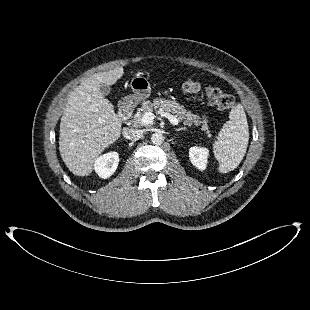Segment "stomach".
Returning <instances> with one entry per match:
<instances>
[{"mask_svg":"<svg viewBox=\"0 0 310 310\" xmlns=\"http://www.w3.org/2000/svg\"><path fill=\"white\" fill-rule=\"evenodd\" d=\"M133 91V99L145 100L151 94V85L148 79L143 76H136L130 82Z\"/></svg>","mask_w":310,"mask_h":310,"instance_id":"0dacf381","label":"stomach"}]
</instances>
